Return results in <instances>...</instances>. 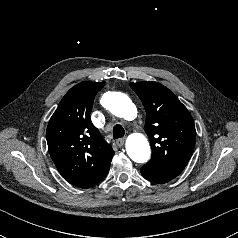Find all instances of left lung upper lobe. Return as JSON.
Wrapping results in <instances>:
<instances>
[{
  "label": "left lung upper lobe",
  "instance_id": "obj_1",
  "mask_svg": "<svg viewBox=\"0 0 238 238\" xmlns=\"http://www.w3.org/2000/svg\"><path fill=\"white\" fill-rule=\"evenodd\" d=\"M130 87L146 111L144 130L152 148L149 162L182 171L195 147L196 130L191 114L167 87L157 82L130 83Z\"/></svg>",
  "mask_w": 238,
  "mask_h": 238
}]
</instances>
